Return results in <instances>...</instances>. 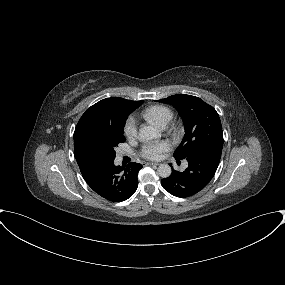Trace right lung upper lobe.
<instances>
[{"label": "right lung upper lobe", "instance_id": "obj_1", "mask_svg": "<svg viewBox=\"0 0 285 285\" xmlns=\"http://www.w3.org/2000/svg\"><path fill=\"white\" fill-rule=\"evenodd\" d=\"M143 101H131L120 97L103 99L89 109L80 118L74 132V137L83 129L98 123H114L125 113H131L138 108ZM79 167L84 165L78 162Z\"/></svg>", "mask_w": 285, "mask_h": 285}]
</instances>
